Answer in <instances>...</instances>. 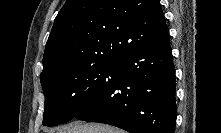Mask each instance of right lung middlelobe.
I'll return each mask as SVG.
<instances>
[{
    "instance_id": "right-lung-middle-lobe-1",
    "label": "right lung middle lobe",
    "mask_w": 221,
    "mask_h": 133,
    "mask_svg": "<svg viewBox=\"0 0 221 133\" xmlns=\"http://www.w3.org/2000/svg\"><path fill=\"white\" fill-rule=\"evenodd\" d=\"M112 63L73 64L57 67L41 76L45 95L43 125L71 120L106 79Z\"/></svg>"
}]
</instances>
